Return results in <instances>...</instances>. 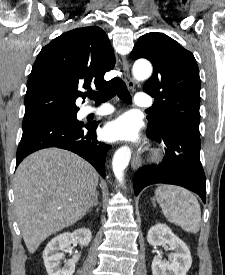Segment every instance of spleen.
I'll use <instances>...</instances> for the list:
<instances>
[{"label": "spleen", "mask_w": 225, "mask_h": 275, "mask_svg": "<svg viewBox=\"0 0 225 275\" xmlns=\"http://www.w3.org/2000/svg\"><path fill=\"white\" fill-rule=\"evenodd\" d=\"M155 198L168 222L188 233L200 229L201 209L197 198L185 188L161 185L155 190Z\"/></svg>", "instance_id": "3e777b00"}]
</instances>
